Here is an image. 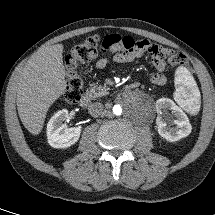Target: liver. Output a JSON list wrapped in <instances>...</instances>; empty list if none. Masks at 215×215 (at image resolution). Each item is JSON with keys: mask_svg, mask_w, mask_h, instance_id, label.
Returning <instances> with one entry per match:
<instances>
[{"mask_svg": "<svg viewBox=\"0 0 215 215\" xmlns=\"http://www.w3.org/2000/svg\"><path fill=\"white\" fill-rule=\"evenodd\" d=\"M62 52V44L43 47L14 76L18 114L33 135L41 132L47 111L66 92Z\"/></svg>", "mask_w": 215, "mask_h": 215, "instance_id": "liver-1", "label": "liver"}]
</instances>
